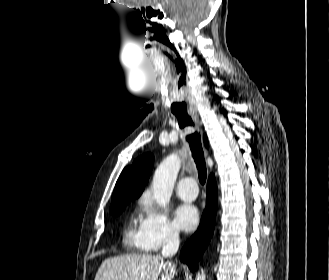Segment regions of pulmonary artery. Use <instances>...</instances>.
<instances>
[{
	"instance_id": "pulmonary-artery-1",
	"label": "pulmonary artery",
	"mask_w": 329,
	"mask_h": 280,
	"mask_svg": "<svg viewBox=\"0 0 329 280\" xmlns=\"http://www.w3.org/2000/svg\"><path fill=\"white\" fill-rule=\"evenodd\" d=\"M177 195L186 201H193L197 197V184L193 177H183L176 185Z\"/></svg>"
}]
</instances>
